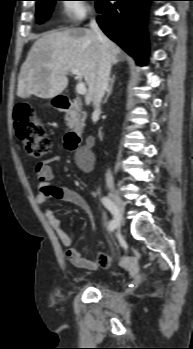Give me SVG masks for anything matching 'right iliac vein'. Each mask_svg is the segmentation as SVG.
Segmentation results:
<instances>
[{"instance_id": "63e3f726", "label": "right iliac vein", "mask_w": 193, "mask_h": 349, "mask_svg": "<svg viewBox=\"0 0 193 349\" xmlns=\"http://www.w3.org/2000/svg\"><path fill=\"white\" fill-rule=\"evenodd\" d=\"M110 196L113 199L116 207L117 218L115 220L117 221V227L120 228L122 225L125 204L122 198L116 193L114 189L111 190Z\"/></svg>"}]
</instances>
